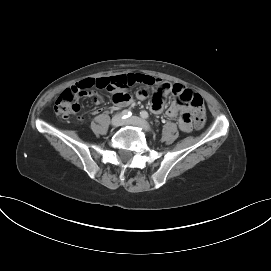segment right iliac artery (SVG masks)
Returning <instances> with one entry per match:
<instances>
[{
  "mask_svg": "<svg viewBox=\"0 0 271 271\" xmlns=\"http://www.w3.org/2000/svg\"><path fill=\"white\" fill-rule=\"evenodd\" d=\"M131 115H132V113L129 110H123L121 113V116L123 119H126V118L130 117Z\"/></svg>",
  "mask_w": 271,
  "mask_h": 271,
  "instance_id": "82829eb1",
  "label": "right iliac artery"
}]
</instances>
